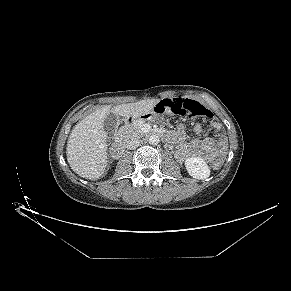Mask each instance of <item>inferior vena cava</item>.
Segmentation results:
<instances>
[{"label":"inferior vena cava","mask_w":291,"mask_h":291,"mask_svg":"<svg viewBox=\"0 0 291 291\" xmlns=\"http://www.w3.org/2000/svg\"><path fill=\"white\" fill-rule=\"evenodd\" d=\"M140 139L139 137L133 136L130 137L127 141H126V148L129 150H133L135 148H137L138 146H140Z\"/></svg>","instance_id":"602c4592"}]
</instances>
